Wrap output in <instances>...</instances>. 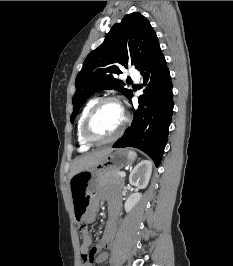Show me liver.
Here are the masks:
<instances>
[{"label": "liver", "instance_id": "6515ba94", "mask_svg": "<svg viewBox=\"0 0 233 266\" xmlns=\"http://www.w3.org/2000/svg\"><path fill=\"white\" fill-rule=\"evenodd\" d=\"M113 149L107 148L81 155L74 159L69 179L75 174L98 165Z\"/></svg>", "mask_w": 233, "mask_h": 266}]
</instances>
